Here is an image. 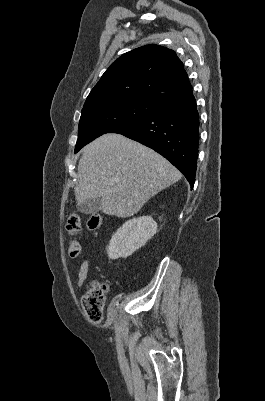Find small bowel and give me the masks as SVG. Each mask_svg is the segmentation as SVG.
Wrapping results in <instances>:
<instances>
[{
    "mask_svg": "<svg viewBox=\"0 0 265 401\" xmlns=\"http://www.w3.org/2000/svg\"><path fill=\"white\" fill-rule=\"evenodd\" d=\"M90 267V261L88 258H85L78 270V280H77V287L81 288L88 277Z\"/></svg>",
    "mask_w": 265,
    "mask_h": 401,
    "instance_id": "obj_1",
    "label": "small bowel"
}]
</instances>
